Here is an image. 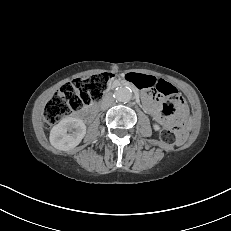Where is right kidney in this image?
Here are the masks:
<instances>
[{"mask_svg":"<svg viewBox=\"0 0 231 231\" xmlns=\"http://www.w3.org/2000/svg\"><path fill=\"white\" fill-rule=\"evenodd\" d=\"M86 134V126L81 119L66 117L50 131V143L59 150L76 147Z\"/></svg>","mask_w":231,"mask_h":231,"instance_id":"obj_1","label":"right kidney"}]
</instances>
